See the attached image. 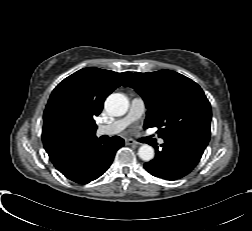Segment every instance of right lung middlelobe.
Segmentation results:
<instances>
[{
    "label": "right lung middle lobe",
    "instance_id": "dd1d6c3e",
    "mask_svg": "<svg viewBox=\"0 0 252 231\" xmlns=\"http://www.w3.org/2000/svg\"><path fill=\"white\" fill-rule=\"evenodd\" d=\"M59 127L64 132H71L76 129L77 121L67 112H62L58 119Z\"/></svg>",
    "mask_w": 252,
    "mask_h": 231
}]
</instances>
